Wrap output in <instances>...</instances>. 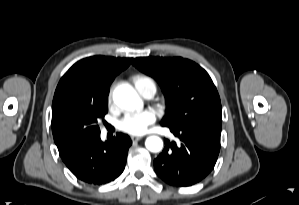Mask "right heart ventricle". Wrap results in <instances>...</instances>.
I'll return each mask as SVG.
<instances>
[{
    "instance_id": "e07e8e85",
    "label": "right heart ventricle",
    "mask_w": 299,
    "mask_h": 205,
    "mask_svg": "<svg viewBox=\"0 0 299 205\" xmlns=\"http://www.w3.org/2000/svg\"><path fill=\"white\" fill-rule=\"evenodd\" d=\"M148 82H153V80L145 75H136L133 77V83L139 92H141L143 86Z\"/></svg>"
}]
</instances>
